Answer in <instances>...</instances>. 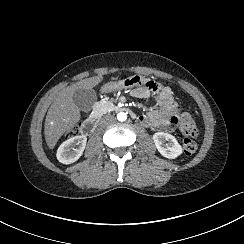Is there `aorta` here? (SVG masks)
<instances>
[{
  "instance_id": "obj_1",
  "label": "aorta",
  "mask_w": 244,
  "mask_h": 244,
  "mask_svg": "<svg viewBox=\"0 0 244 244\" xmlns=\"http://www.w3.org/2000/svg\"><path fill=\"white\" fill-rule=\"evenodd\" d=\"M117 119L119 122L126 121L127 115L123 112L117 114Z\"/></svg>"
}]
</instances>
